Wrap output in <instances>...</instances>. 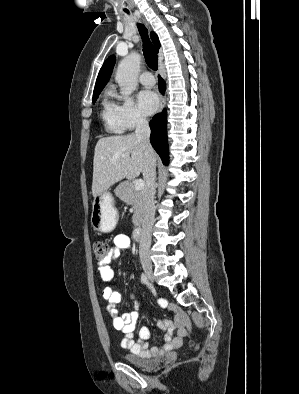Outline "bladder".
Returning a JSON list of instances; mask_svg holds the SVG:
<instances>
[{
	"instance_id": "1",
	"label": "bladder",
	"mask_w": 299,
	"mask_h": 394,
	"mask_svg": "<svg viewBox=\"0 0 299 394\" xmlns=\"http://www.w3.org/2000/svg\"><path fill=\"white\" fill-rule=\"evenodd\" d=\"M123 357L127 363L140 369H151L160 364L159 359H148L133 353H126Z\"/></svg>"
}]
</instances>
